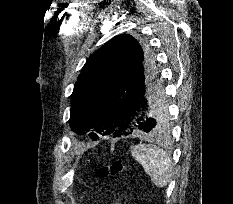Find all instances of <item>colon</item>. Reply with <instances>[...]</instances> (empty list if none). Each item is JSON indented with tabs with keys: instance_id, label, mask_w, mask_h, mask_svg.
Listing matches in <instances>:
<instances>
[{
	"instance_id": "1",
	"label": "colon",
	"mask_w": 233,
	"mask_h": 204,
	"mask_svg": "<svg viewBox=\"0 0 233 204\" xmlns=\"http://www.w3.org/2000/svg\"><path fill=\"white\" fill-rule=\"evenodd\" d=\"M127 170V165L122 160H117L111 164L100 168L97 171V176L101 179L115 177ZM115 204H125V195L123 193H116L114 195Z\"/></svg>"
}]
</instances>
